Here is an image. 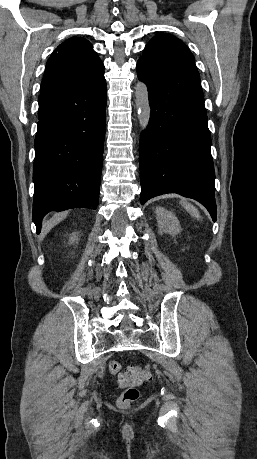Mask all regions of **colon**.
Listing matches in <instances>:
<instances>
[{"label":"colon","mask_w":257,"mask_h":459,"mask_svg":"<svg viewBox=\"0 0 257 459\" xmlns=\"http://www.w3.org/2000/svg\"><path fill=\"white\" fill-rule=\"evenodd\" d=\"M109 371L117 378L118 383L125 388L117 400L120 408H128L139 397L137 387L150 379L148 366H128L122 371V366L117 361L109 363Z\"/></svg>","instance_id":"5ec220e1"}]
</instances>
